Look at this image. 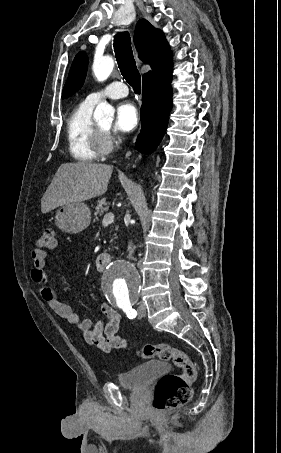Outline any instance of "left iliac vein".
Instances as JSON below:
<instances>
[{
	"label": "left iliac vein",
	"mask_w": 281,
	"mask_h": 453,
	"mask_svg": "<svg viewBox=\"0 0 281 453\" xmlns=\"http://www.w3.org/2000/svg\"><path fill=\"white\" fill-rule=\"evenodd\" d=\"M138 305H139L138 316H146V314L144 312L147 309L146 304H138Z\"/></svg>",
	"instance_id": "left-iliac-vein-1"
}]
</instances>
